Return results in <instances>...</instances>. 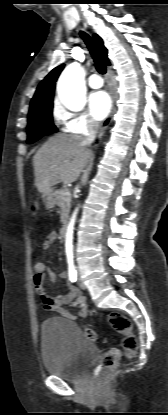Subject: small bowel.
<instances>
[{
	"instance_id": "small-bowel-1",
	"label": "small bowel",
	"mask_w": 168,
	"mask_h": 415,
	"mask_svg": "<svg viewBox=\"0 0 168 415\" xmlns=\"http://www.w3.org/2000/svg\"><path fill=\"white\" fill-rule=\"evenodd\" d=\"M56 240V233H50L46 237L45 241L42 243V249L48 250ZM43 269L45 270L44 277L47 276L49 283L52 285L56 281L57 275L50 267L46 265ZM58 276L67 284L68 291L56 297H51L49 295V292L45 287L44 282L34 283L35 289L38 295L40 296L45 309L48 311L56 312L62 317L71 321H75L78 318H85L88 314L85 297L81 294L80 290H78L75 286L70 284L69 275L66 271L60 272ZM70 307L77 308L78 314L76 315L71 313L69 310Z\"/></svg>"
}]
</instances>
